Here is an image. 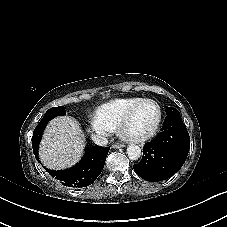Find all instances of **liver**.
Wrapping results in <instances>:
<instances>
[{"mask_svg":"<svg viewBox=\"0 0 227 227\" xmlns=\"http://www.w3.org/2000/svg\"><path fill=\"white\" fill-rule=\"evenodd\" d=\"M84 146L85 138L78 122L61 116L48 123L40 142L39 157L49 169H65L80 160Z\"/></svg>","mask_w":227,"mask_h":227,"instance_id":"obj_1","label":"liver"}]
</instances>
